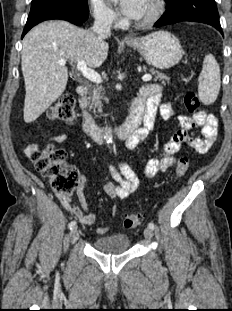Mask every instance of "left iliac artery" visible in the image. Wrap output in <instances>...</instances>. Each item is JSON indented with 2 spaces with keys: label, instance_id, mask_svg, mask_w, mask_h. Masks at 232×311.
Returning a JSON list of instances; mask_svg holds the SVG:
<instances>
[{
  "label": "left iliac artery",
  "instance_id": "obj_1",
  "mask_svg": "<svg viewBox=\"0 0 232 311\" xmlns=\"http://www.w3.org/2000/svg\"><path fill=\"white\" fill-rule=\"evenodd\" d=\"M148 227H149L150 229L154 230L155 225H154L153 222H150V223L148 224Z\"/></svg>",
  "mask_w": 232,
  "mask_h": 311
}]
</instances>
